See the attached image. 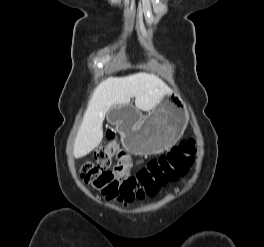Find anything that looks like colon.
I'll use <instances>...</instances> for the list:
<instances>
[{
	"mask_svg": "<svg viewBox=\"0 0 264 247\" xmlns=\"http://www.w3.org/2000/svg\"><path fill=\"white\" fill-rule=\"evenodd\" d=\"M105 139L107 143L95 152V162L82 165L81 176L103 195L121 203L153 195L161 186L185 175L196 155L195 141H183L169 153L149 161L136 174H131L127 154L115 152L111 146L115 132L107 130ZM113 157L117 162L111 166Z\"/></svg>",
	"mask_w": 264,
	"mask_h": 247,
	"instance_id": "colon-1",
	"label": "colon"
}]
</instances>
